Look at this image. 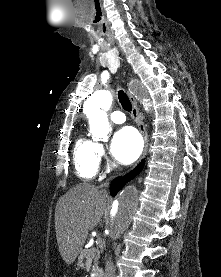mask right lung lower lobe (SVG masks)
Instances as JSON below:
<instances>
[{"label":"right lung lower lobe","mask_w":221,"mask_h":277,"mask_svg":"<svg viewBox=\"0 0 221 277\" xmlns=\"http://www.w3.org/2000/svg\"><path fill=\"white\" fill-rule=\"evenodd\" d=\"M144 161H142L132 172L125 175L124 177H118L116 178L110 187V194L112 196H115L118 191L131 179H133L143 168Z\"/></svg>","instance_id":"98d812e1"}]
</instances>
